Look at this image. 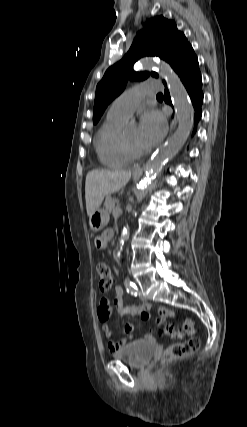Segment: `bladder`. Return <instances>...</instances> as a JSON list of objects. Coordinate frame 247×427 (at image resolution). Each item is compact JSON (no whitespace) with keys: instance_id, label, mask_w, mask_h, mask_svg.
<instances>
[{"instance_id":"bladder-1","label":"bladder","mask_w":247,"mask_h":427,"mask_svg":"<svg viewBox=\"0 0 247 427\" xmlns=\"http://www.w3.org/2000/svg\"><path fill=\"white\" fill-rule=\"evenodd\" d=\"M157 351L156 344L148 341H134L113 353L117 360L126 362L134 368L145 367Z\"/></svg>"}]
</instances>
